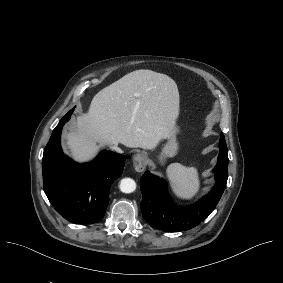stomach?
I'll list each match as a JSON object with an SVG mask.
<instances>
[{"label":"stomach","instance_id":"1","mask_svg":"<svg viewBox=\"0 0 283 283\" xmlns=\"http://www.w3.org/2000/svg\"><path fill=\"white\" fill-rule=\"evenodd\" d=\"M178 145L175 140L171 137L168 142L164 145L160 154V162L163 164L168 157H174L177 154Z\"/></svg>","mask_w":283,"mask_h":283}]
</instances>
